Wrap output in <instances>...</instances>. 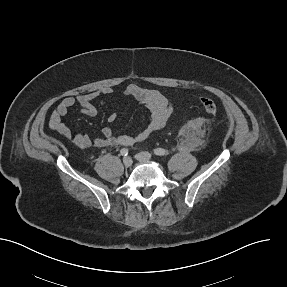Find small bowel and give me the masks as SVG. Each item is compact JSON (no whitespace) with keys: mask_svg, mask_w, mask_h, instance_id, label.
I'll list each match as a JSON object with an SVG mask.
<instances>
[{"mask_svg":"<svg viewBox=\"0 0 287 287\" xmlns=\"http://www.w3.org/2000/svg\"><path fill=\"white\" fill-rule=\"evenodd\" d=\"M113 93L111 88H101L85 94L74 97H65L60 101L51 115L52 125L68 141L80 148L111 147V146H132L138 142L147 139L154 132L162 129L173 111L171 100L158 90L147 89L136 84H129L124 95L143 104L150 111V120L147 126L135 135H115L111 127H104L101 136H90L86 133H72L70 128L62 121L69 110L78 104L81 107V113L88 117H94L97 110L93 102L102 95ZM118 118V112H113L109 116L110 122H115Z\"/></svg>","mask_w":287,"mask_h":287,"instance_id":"obj_1","label":"small bowel"}]
</instances>
